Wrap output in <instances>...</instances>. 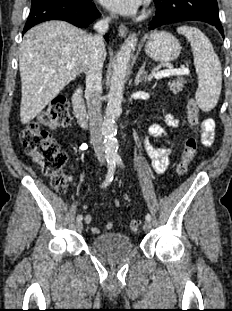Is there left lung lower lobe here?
I'll return each mask as SVG.
<instances>
[{"label": "left lung lower lobe", "instance_id": "obj_1", "mask_svg": "<svg viewBox=\"0 0 232 311\" xmlns=\"http://www.w3.org/2000/svg\"><path fill=\"white\" fill-rule=\"evenodd\" d=\"M156 13L150 29L179 21H203L215 26L224 37L216 0H154Z\"/></svg>", "mask_w": 232, "mask_h": 311}]
</instances>
